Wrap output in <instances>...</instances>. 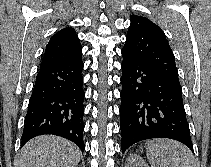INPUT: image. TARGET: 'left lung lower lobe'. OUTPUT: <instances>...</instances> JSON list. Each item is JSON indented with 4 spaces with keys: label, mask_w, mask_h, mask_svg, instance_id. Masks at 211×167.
<instances>
[{
    "label": "left lung lower lobe",
    "mask_w": 211,
    "mask_h": 167,
    "mask_svg": "<svg viewBox=\"0 0 211 167\" xmlns=\"http://www.w3.org/2000/svg\"><path fill=\"white\" fill-rule=\"evenodd\" d=\"M122 57V152L136 142L151 138L174 139L193 150L181 86L124 52Z\"/></svg>",
    "instance_id": "left-lung-lower-lobe-1"
}]
</instances>
